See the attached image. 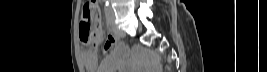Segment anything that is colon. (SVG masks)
<instances>
[{"label":"colon","mask_w":267,"mask_h":72,"mask_svg":"<svg viewBox=\"0 0 267 72\" xmlns=\"http://www.w3.org/2000/svg\"><path fill=\"white\" fill-rule=\"evenodd\" d=\"M101 11L96 1H86L82 9V17L79 24L80 40L89 45L97 46L102 38V30L99 24Z\"/></svg>","instance_id":"colon-1"}]
</instances>
